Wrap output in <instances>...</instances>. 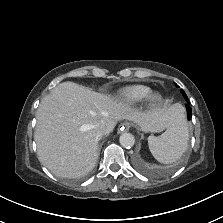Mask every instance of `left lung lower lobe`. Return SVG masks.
<instances>
[{"instance_id": "left-lung-lower-lobe-1", "label": "left lung lower lobe", "mask_w": 223, "mask_h": 223, "mask_svg": "<svg viewBox=\"0 0 223 223\" xmlns=\"http://www.w3.org/2000/svg\"><path fill=\"white\" fill-rule=\"evenodd\" d=\"M187 101V105H186V108H187V116H188V119H190L192 117V110L189 106V100L188 99H185Z\"/></svg>"}]
</instances>
